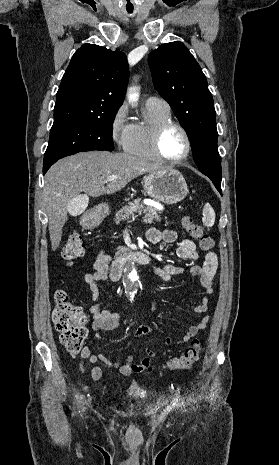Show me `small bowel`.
Here are the masks:
<instances>
[{
    "instance_id": "obj_1",
    "label": "small bowel",
    "mask_w": 279,
    "mask_h": 465,
    "mask_svg": "<svg viewBox=\"0 0 279 465\" xmlns=\"http://www.w3.org/2000/svg\"><path fill=\"white\" fill-rule=\"evenodd\" d=\"M147 238L152 243H176V254L186 260L198 259V253L196 250V244L190 239H183L177 241V234L173 230H161L157 228H151L147 232ZM112 260L110 253L105 250H101L95 256L93 267L95 272L87 274L85 276V282L87 283L91 297L94 301L89 308V311L93 317L92 329L94 331L93 338L83 347L81 351V357L87 358L93 365L91 369V377L95 382L100 383L103 377V370L97 365L98 362H103L109 368H118L119 372L128 377L132 374L140 373L150 367L151 359L156 355V352L152 348H147L146 356L139 362H134L132 356H128L124 362L118 360H111L103 354H92L91 343L95 339H103L100 331H109L117 329L120 326V316L117 313L103 310L97 303L100 297L99 283L106 281L109 278L112 279V269L110 270L109 264ZM113 268V266H112ZM217 270V256L214 252L209 251L204 255L202 265L193 266L190 270L191 274L199 276L201 284L204 287L205 295L201 301L194 307V312L203 314L197 324L190 325L184 336L178 341V344H185L189 342L196 334L207 326L209 317L206 314L209 305L208 296L213 293L214 277ZM155 274L163 281L170 282L177 275L183 272L181 267L173 264H165L163 266L154 267ZM113 280V279H112ZM155 308L153 307V311ZM152 333V329L147 326L140 327L136 330V337H143ZM167 345L171 344V340L167 338L165 340ZM80 369L85 371L83 364H80Z\"/></svg>"
}]
</instances>
